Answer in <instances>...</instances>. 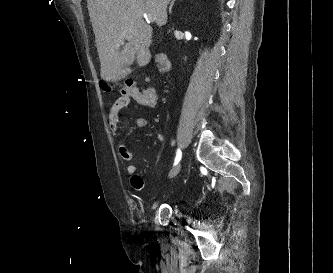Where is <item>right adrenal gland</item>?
Segmentation results:
<instances>
[{
    "mask_svg": "<svg viewBox=\"0 0 333 273\" xmlns=\"http://www.w3.org/2000/svg\"><path fill=\"white\" fill-rule=\"evenodd\" d=\"M175 1H176V0H173V1L171 2L170 6H169V12H170V13H172V7H173Z\"/></svg>",
    "mask_w": 333,
    "mask_h": 273,
    "instance_id": "obj_1",
    "label": "right adrenal gland"
}]
</instances>
